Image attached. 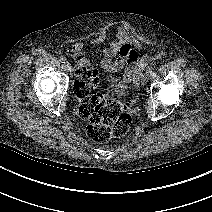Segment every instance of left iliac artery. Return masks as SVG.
Here are the masks:
<instances>
[{
	"mask_svg": "<svg viewBox=\"0 0 212 212\" xmlns=\"http://www.w3.org/2000/svg\"><path fill=\"white\" fill-rule=\"evenodd\" d=\"M146 73L149 74L151 77L155 76V72L152 69H148Z\"/></svg>",
	"mask_w": 212,
	"mask_h": 212,
	"instance_id": "obj_1",
	"label": "left iliac artery"
}]
</instances>
